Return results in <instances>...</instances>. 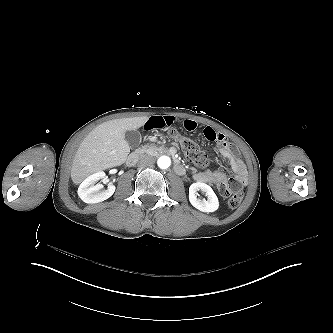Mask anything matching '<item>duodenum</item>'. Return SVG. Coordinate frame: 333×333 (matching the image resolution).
Here are the masks:
<instances>
[{"instance_id":"duodenum-1","label":"duodenum","mask_w":333,"mask_h":333,"mask_svg":"<svg viewBox=\"0 0 333 333\" xmlns=\"http://www.w3.org/2000/svg\"><path fill=\"white\" fill-rule=\"evenodd\" d=\"M141 155H142V151L141 150H137V151L132 152L127 157V160H126L127 165L128 166H134V165H136L137 162L139 161ZM174 169H175V171L178 174H183L184 171H185L184 167L180 163H175Z\"/></svg>"}]
</instances>
